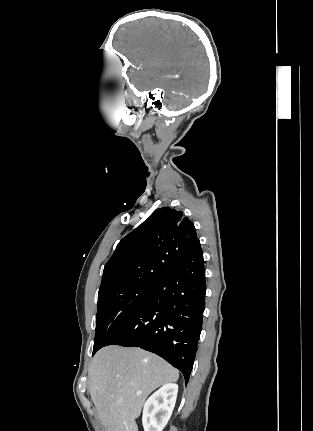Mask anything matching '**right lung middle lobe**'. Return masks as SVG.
Masks as SVG:
<instances>
[{"instance_id": "right-lung-middle-lobe-1", "label": "right lung middle lobe", "mask_w": 313, "mask_h": 431, "mask_svg": "<svg viewBox=\"0 0 313 431\" xmlns=\"http://www.w3.org/2000/svg\"><path fill=\"white\" fill-rule=\"evenodd\" d=\"M157 286H142L103 294L98 298L93 355L137 310Z\"/></svg>"}]
</instances>
